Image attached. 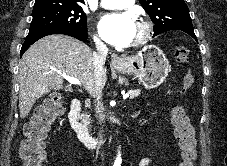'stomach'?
<instances>
[{"label": "stomach", "mask_w": 227, "mask_h": 166, "mask_svg": "<svg viewBox=\"0 0 227 166\" xmlns=\"http://www.w3.org/2000/svg\"><path fill=\"white\" fill-rule=\"evenodd\" d=\"M115 69L122 74L135 75L145 88L153 89L164 82L170 72V64L159 47L149 45L136 55L125 57Z\"/></svg>", "instance_id": "1"}]
</instances>
